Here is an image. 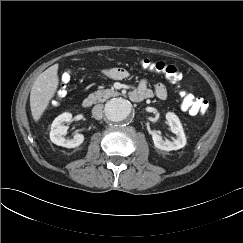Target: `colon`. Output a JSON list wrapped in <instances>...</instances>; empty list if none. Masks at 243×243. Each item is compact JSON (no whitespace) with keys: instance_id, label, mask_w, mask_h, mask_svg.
<instances>
[{"instance_id":"1","label":"colon","mask_w":243,"mask_h":243,"mask_svg":"<svg viewBox=\"0 0 243 243\" xmlns=\"http://www.w3.org/2000/svg\"><path fill=\"white\" fill-rule=\"evenodd\" d=\"M139 64L144 69L163 74L172 83H178L182 78L179 68L172 64H167L162 61H152L147 58L140 59ZM70 78L71 72L65 71L62 75L61 86L56 95L57 99L64 97L66 94V84L70 81ZM183 104L194 114H204L208 109V102L201 97L193 98L190 95L184 94Z\"/></svg>"}]
</instances>
